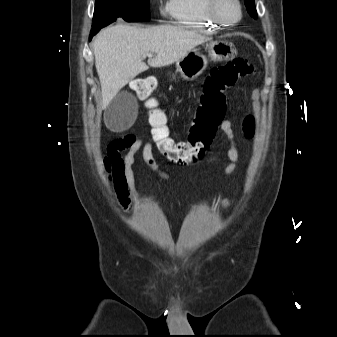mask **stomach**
<instances>
[{
  "label": "stomach",
  "mask_w": 337,
  "mask_h": 337,
  "mask_svg": "<svg viewBox=\"0 0 337 337\" xmlns=\"http://www.w3.org/2000/svg\"><path fill=\"white\" fill-rule=\"evenodd\" d=\"M206 48L208 57L214 61L227 60L235 53L234 45L226 40L210 41ZM207 64V57L199 49H192L176 62V73L185 80H194L202 74Z\"/></svg>",
  "instance_id": "1"
}]
</instances>
